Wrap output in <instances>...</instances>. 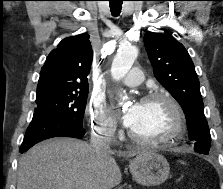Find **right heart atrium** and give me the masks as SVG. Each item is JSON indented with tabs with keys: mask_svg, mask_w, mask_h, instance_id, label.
I'll return each mask as SVG.
<instances>
[{
	"mask_svg": "<svg viewBox=\"0 0 223 189\" xmlns=\"http://www.w3.org/2000/svg\"><path fill=\"white\" fill-rule=\"evenodd\" d=\"M86 114L91 130L102 138H111L116 132V120L107 105L99 99L89 101Z\"/></svg>",
	"mask_w": 223,
	"mask_h": 189,
	"instance_id": "obj_1",
	"label": "right heart atrium"
}]
</instances>
